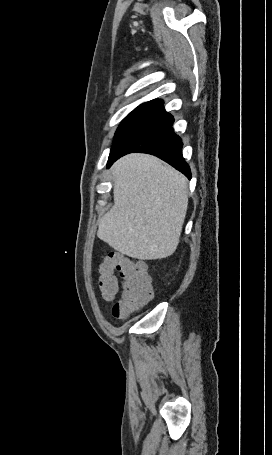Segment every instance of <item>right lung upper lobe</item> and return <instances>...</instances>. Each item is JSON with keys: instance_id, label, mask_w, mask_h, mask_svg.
Segmentation results:
<instances>
[{"instance_id": "1", "label": "right lung upper lobe", "mask_w": 272, "mask_h": 455, "mask_svg": "<svg viewBox=\"0 0 272 455\" xmlns=\"http://www.w3.org/2000/svg\"><path fill=\"white\" fill-rule=\"evenodd\" d=\"M149 102H159V103H163L162 100H159V99H157V100H152V101H149Z\"/></svg>"}]
</instances>
